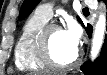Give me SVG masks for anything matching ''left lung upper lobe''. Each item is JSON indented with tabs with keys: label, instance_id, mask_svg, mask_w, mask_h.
Here are the masks:
<instances>
[{
	"label": "left lung upper lobe",
	"instance_id": "obj_1",
	"mask_svg": "<svg viewBox=\"0 0 107 75\" xmlns=\"http://www.w3.org/2000/svg\"><path fill=\"white\" fill-rule=\"evenodd\" d=\"M40 0H24L20 14H19V20H22L27 15L31 13V11L34 9V7L39 3ZM78 21L82 23L81 19L78 17Z\"/></svg>",
	"mask_w": 107,
	"mask_h": 75
}]
</instances>
